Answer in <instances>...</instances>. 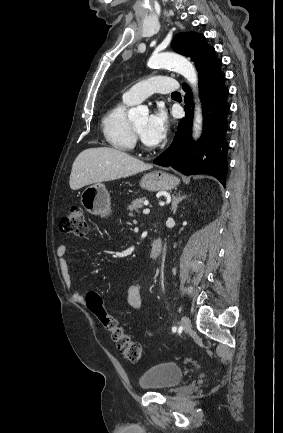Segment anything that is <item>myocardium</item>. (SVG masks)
<instances>
[{
    "mask_svg": "<svg viewBox=\"0 0 283 433\" xmlns=\"http://www.w3.org/2000/svg\"><path fill=\"white\" fill-rule=\"evenodd\" d=\"M132 129H133V132H134V135H135V137L136 138H139V132L137 131V129L135 128V126H134V124H132Z\"/></svg>",
    "mask_w": 283,
    "mask_h": 433,
    "instance_id": "obj_1",
    "label": "myocardium"
}]
</instances>
